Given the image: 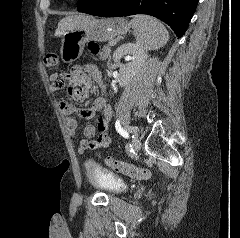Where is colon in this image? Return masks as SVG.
<instances>
[{
	"mask_svg": "<svg viewBox=\"0 0 240 238\" xmlns=\"http://www.w3.org/2000/svg\"><path fill=\"white\" fill-rule=\"evenodd\" d=\"M89 49L92 53L97 54L99 52V45L96 42H90ZM43 62L46 67L52 68L58 63V56L55 53H47L43 58ZM103 160L107 166L111 167L115 171L132 178L146 179L151 175V172L148 169L142 167H138L112 158H104Z\"/></svg>",
	"mask_w": 240,
	"mask_h": 238,
	"instance_id": "5ec220e1",
	"label": "colon"
}]
</instances>
